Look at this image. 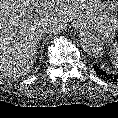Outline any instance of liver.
<instances>
[{"label": "liver", "instance_id": "liver-1", "mask_svg": "<svg viewBox=\"0 0 118 118\" xmlns=\"http://www.w3.org/2000/svg\"><path fill=\"white\" fill-rule=\"evenodd\" d=\"M96 0H0V74L27 75L36 60L37 44L44 36L41 23L62 26L76 18L94 23Z\"/></svg>", "mask_w": 118, "mask_h": 118}]
</instances>
